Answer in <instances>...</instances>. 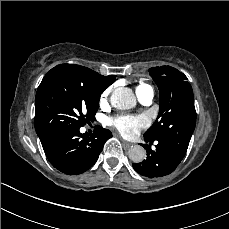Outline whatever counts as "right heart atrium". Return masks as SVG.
Returning a JSON list of instances; mask_svg holds the SVG:
<instances>
[{"label":"right heart atrium","mask_w":229,"mask_h":229,"mask_svg":"<svg viewBox=\"0 0 229 229\" xmlns=\"http://www.w3.org/2000/svg\"><path fill=\"white\" fill-rule=\"evenodd\" d=\"M110 93H111V88H108L102 92L100 96V105L107 104Z\"/></svg>","instance_id":"right-heart-atrium-1"}]
</instances>
